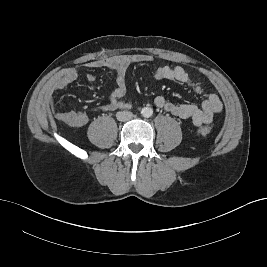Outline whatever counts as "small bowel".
Masks as SVG:
<instances>
[{
	"label": "small bowel",
	"instance_id": "c3829d8e",
	"mask_svg": "<svg viewBox=\"0 0 267 267\" xmlns=\"http://www.w3.org/2000/svg\"><path fill=\"white\" fill-rule=\"evenodd\" d=\"M153 61V57L148 54H120L113 55L107 58H99L89 61L85 64L90 69L107 68L114 76L115 87L109 93L108 102L99 107L101 112H109L118 109H127L132 107V103L126 98L127 84L126 74L128 68L134 63H145ZM153 76L157 80H174L190 87L193 92L204 97L200 106L193 104H177L168 101L163 96H157L154 99V104L157 108L162 109L178 118L189 119L196 127L202 124H210L214 115L220 113L223 109V104L218 95L204 91V83L198 77L191 76L181 66L159 65L154 70ZM78 78L76 69L67 70L55 83L54 89L63 91L67 89ZM95 80L93 74L86 76V81L91 83ZM52 107L55 115L65 121H68L74 126L83 127L88 124L89 117L83 111L63 112Z\"/></svg>",
	"mask_w": 267,
	"mask_h": 267
}]
</instances>
